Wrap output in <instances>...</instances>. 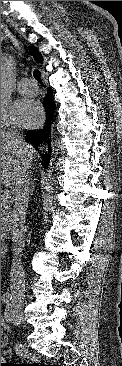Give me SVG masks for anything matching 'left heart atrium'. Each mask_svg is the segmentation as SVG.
<instances>
[{
    "mask_svg": "<svg viewBox=\"0 0 122 366\" xmlns=\"http://www.w3.org/2000/svg\"><path fill=\"white\" fill-rule=\"evenodd\" d=\"M43 110L40 104L30 98H20L13 106V119L22 126H35L40 123Z\"/></svg>",
    "mask_w": 122,
    "mask_h": 366,
    "instance_id": "1",
    "label": "left heart atrium"
}]
</instances>
